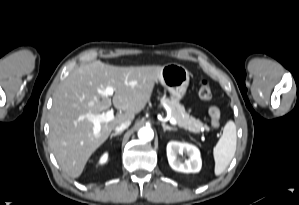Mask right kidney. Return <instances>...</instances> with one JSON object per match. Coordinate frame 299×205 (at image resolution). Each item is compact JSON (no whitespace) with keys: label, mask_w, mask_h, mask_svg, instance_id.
<instances>
[{"label":"right kidney","mask_w":299,"mask_h":205,"mask_svg":"<svg viewBox=\"0 0 299 205\" xmlns=\"http://www.w3.org/2000/svg\"><path fill=\"white\" fill-rule=\"evenodd\" d=\"M108 159V154L105 153L101 158H100V164H104Z\"/></svg>","instance_id":"1"}]
</instances>
